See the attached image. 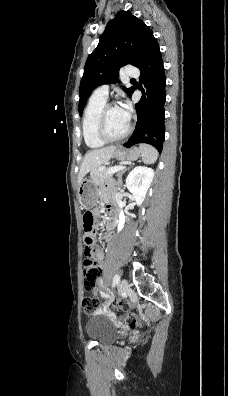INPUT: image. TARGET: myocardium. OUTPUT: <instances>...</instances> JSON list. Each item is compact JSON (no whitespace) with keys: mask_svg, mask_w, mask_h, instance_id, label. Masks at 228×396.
Instances as JSON below:
<instances>
[{"mask_svg":"<svg viewBox=\"0 0 228 396\" xmlns=\"http://www.w3.org/2000/svg\"><path fill=\"white\" fill-rule=\"evenodd\" d=\"M113 107H117V105L114 103H106L101 109L97 118V125H96L97 135L105 143L120 141L126 138L131 131V124L130 122H128V125L122 134L118 136H111L108 134L106 129V116L108 111Z\"/></svg>","mask_w":228,"mask_h":396,"instance_id":"1","label":"myocardium"}]
</instances>
